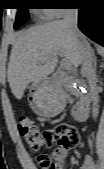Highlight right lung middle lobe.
Wrapping results in <instances>:
<instances>
[{"instance_id":"dd1d6c3e","label":"right lung middle lobe","mask_w":104,"mask_h":169,"mask_svg":"<svg viewBox=\"0 0 104 169\" xmlns=\"http://www.w3.org/2000/svg\"><path fill=\"white\" fill-rule=\"evenodd\" d=\"M24 1V0H20ZM28 8L25 4H21L17 11L16 21L14 24V28L18 29L21 25L28 21Z\"/></svg>"}]
</instances>
